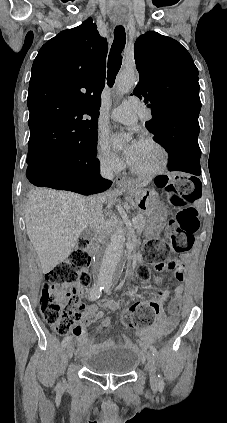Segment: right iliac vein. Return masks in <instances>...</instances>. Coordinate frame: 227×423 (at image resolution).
Masks as SVG:
<instances>
[{
  "label": "right iliac vein",
  "mask_w": 227,
  "mask_h": 423,
  "mask_svg": "<svg viewBox=\"0 0 227 423\" xmlns=\"http://www.w3.org/2000/svg\"><path fill=\"white\" fill-rule=\"evenodd\" d=\"M73 351H74V347H73V344H69L68 346H67V348H66V357H67V360H71V358H72V355H73Z\"/></svg>",
  "instance_id": "63e3f726"
}]
</instances>
